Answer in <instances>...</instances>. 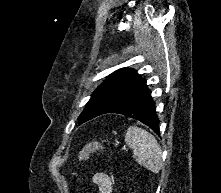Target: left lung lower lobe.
Here are the masks:
<instances>
[{
	"label": "left lung lower lobe",
	"instance_id": "1",
	"mask_svg": "<svg viewBox=\"0 0 221 193\" xmlns=\"http://www.w3.org/2000/svg\"><path fill=\"white\" fill-rule=\"evenodd\" d=\"M106 113H117L134 118L160 134L154 101L145 79L138 78L127 86L102 114Z\"/></svg>",
	"mask_w": 221,
	"mask_h": 193
}]
</instances>
